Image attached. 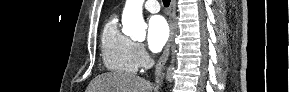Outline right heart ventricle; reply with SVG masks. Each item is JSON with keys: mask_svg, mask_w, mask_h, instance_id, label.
<instances>
[{"mask_svg": "<svg viewBox=\"0 0 289 92\" xmlns=\"http://www.w3.org/2000/svg\"><path fill=\"white\" fill-rule=\"evenodd\" d=\"M134 44L120 31L118 18L112 16L101 34V53L105 67L113 72L135 73L138 65L134 56Z\"/></svg>", "mask_w": 289, "mask_h": 92, "instance_id": "obj_1", "label": "right heart ventricle"}]
</instances>
